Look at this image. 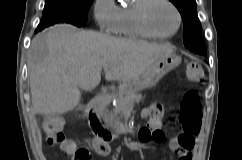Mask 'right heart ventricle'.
Instances as JSON below:
<instances>
[{"mask_svg":"<svg viewBox=\"0 0 242 160\" xmlns=\"http://www.w3.org/2000/svg\"><path fill=\"white\" fill-rule=\"evenodd\" d=\"M140 0H133L129 6L118 7V16L114 33L130 39H148L150 37L143 34L134 21V7Z\"/></svg>","mask_w":242,"mask_h":160,"instance_id":"1","label":"right heart ventricle"}]
</instances>
